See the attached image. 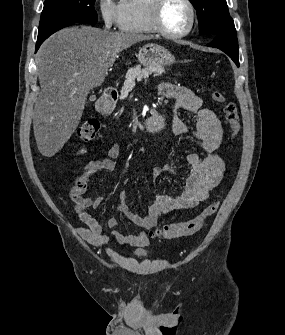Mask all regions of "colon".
I'll return each mask as SVG.
<instances>
[{"label":"colon","instance_id":"5ec220e1","mask_svg":"<svg viewBox=\"0 0 285 335\" xmlns=\"http://www.w3.org/2000/svg\"><path fill=\"white\" fill-rule=\"evenodd\" d=\"M212 99L223 106V112L228 122L231 135L235 138L240 131L239 114L237 107L234 103L227 100L226 96L220 91H213L211 93ZM100 129V123L96 119H89L83 122L78 130L77 136L83 142H92L95 140ZM219 208V202L214 201L209 204L198 216L193 219L166 224L163 227L157 229L154 235L163 237L166 239L189 236L198 232L206 220L214 215Z\"/></svg>","mask_w":285,"mask_h":335}]
</instances>
